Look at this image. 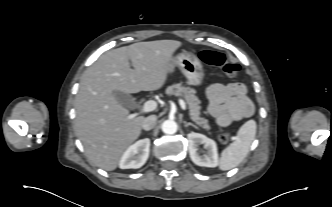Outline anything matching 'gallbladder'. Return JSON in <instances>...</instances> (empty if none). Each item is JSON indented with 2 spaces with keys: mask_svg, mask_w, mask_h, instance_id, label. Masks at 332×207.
<instances>
[{
  "mask_svg": "<svg viewBox=\"0 0 332 207\" xmlns=\"http://www.w3.org/2000/svg\"><path fill=\"white\" fill-rule=\"evenodd\" d=\"M114 95H115L116 99L119 101V103H121L123 106L129 107V108L133 107L135 100L129 94H123L119 91H116V92H114Z\"/></svg>",
  "mask_w": 332,
  "mask_h": 207,
  "instance_id": "gallbladder-1",
  "label": "gallbladder"
}]
</instances>
